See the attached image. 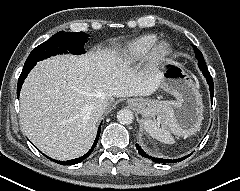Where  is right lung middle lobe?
I'll list each match as a JSON object with an SVG mask.
<instances>
[{"mask_svg":"<svg viewBox=\"0 0 240 191\" xmlns=\"http://www.w3.org/2000/svg\"><path fill=\"white\" fill-rule=\"evenodd\" d=\"M88 34L84 32H58L49 40L36 47L29 57L25 65L36 64L38 61L69 51L72 54H83L84 44L87 42Z\"/></svg>","mask_w":240,"mask_h":191,"instance_id":"obj_1","label":"right lung middle lobe"}]
</instances>
